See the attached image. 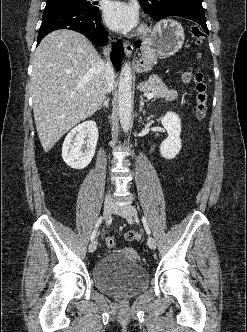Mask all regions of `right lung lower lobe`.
<instances>
[{
  "mask_svg": "<svg viewBox=\"0 0 247 332\" xmlns=\"http://www.w3.org/2000/svg\"><path fill=\"white\" fill-rule=\"evenodd\" d=\"M58 29H69L85 35L96 44H105L107 32L102 29L99 9L86 10L72 6L45 8L39 29L37 44L50 32ZM111 60L118 71L123 60L124 51L121 40L112 43Z\"/></svg>",
  "mask_w": 247,
  "mask_h": 332,
  "instance_id": "right-lung-lower-lobe-1",
  "label": "right lung lower lobe"
}]
</instances>
